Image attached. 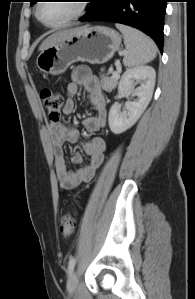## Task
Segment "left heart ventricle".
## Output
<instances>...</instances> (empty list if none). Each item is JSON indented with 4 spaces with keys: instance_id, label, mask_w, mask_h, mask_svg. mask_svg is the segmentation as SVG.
Returning <instances> with one entry per match:
<instances>
[{
    "instance_id": "left-heart-ventricle-1",
    "label": "left heart ventricle",
    "mask_w": 195,
    "mask_h": 299,
    "mask_svg": "<svg viewBox=\"0 0 195 299\" xmlns=\"http://www.w3.org/2000/svg\"><path fill=\"white\" fill-rule=\"evenodd\" d=\"M76 9V1H45L41 4L39 15L45 23L56 24L72 16Z\"/></svg>"
}]
</instances>
